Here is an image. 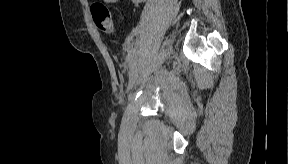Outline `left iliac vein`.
Returning <instances> with one entry per match:
<instances>
[{
	"label": "left iliac vein",
	"mask_w": 288,
	"mask_h": 164,
	"mask_svg": "<svg viewBox=\"0 0 288 164\" xmlns=\"http://www.w3.org/2000/svg\"><path fill=\"white\" fill-rule=\"evenodd\" d=\"M135 77H131L129 79V82H128V86H127V91H130L133 89L134 85H135Z\"/></svg>",
	"instance_id": "4c4485c4"
}]
</instances>
